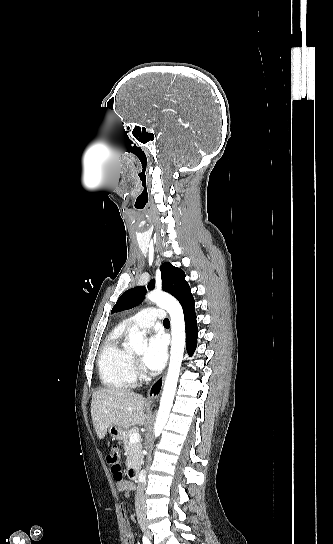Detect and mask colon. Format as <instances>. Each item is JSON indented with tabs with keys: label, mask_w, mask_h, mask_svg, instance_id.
I'll list each match as a JSON object with an SVG mask.
<instances>
[{
	"label": "colon",
	"mask_w": 333,
	"mask_h": 544,
	"mask_svg": "<svg viewBox=\"0 0 333 544\" xmlns=\"http://www.w3.org/2000/svg\"><path fill=\"white\" fill-rule=\"evenodd\" d=\"M107 461L111 465L115 479L120 482L123 480L122 466L120 462V452L117 446H112L107 455Z\"/></svg>",
	"instance_id": "1"
}]
</instances>
